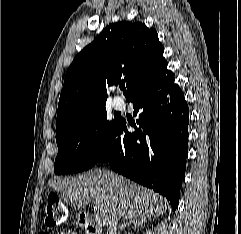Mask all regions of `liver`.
Segmentation results:
<instances>
[{"instance_id": "1", "label": "liver", "mask_w": 241, "mask_h": 234, "mask_svg": "<svg viewBox=\"0 0 241 234\" xmlns=\"http://www.w3.org/2000/svg\"><path fill=\"white\" fill-rule=\"evenodd\" d=\"M48 185L61 191L63 201L72 207L99 205L106 226L115 216L126 220L158 217L168 207V202L152 190L108 170H90L71 179L49 181Z\"/></svg>"}]
</instances>
